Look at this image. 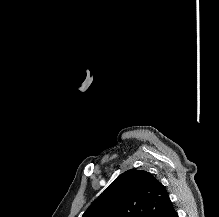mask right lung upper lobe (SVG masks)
I'll return each mask as SVG.
<instances>
[{"label":"right lung upper lobe","instance_id":"obj_1","mask_svg":"<svg viewBox=\"0 0 219 217\" xmlns=\"http://www.w3.org/2000/svg\"><path fill=\"white\" fill-rule=\"evenodd\" d=\"M166 188L149 172L121 174L82 217H167L173 209Z\"/></svg>","mask_w":219,"mask_h":217}]
</instances>
